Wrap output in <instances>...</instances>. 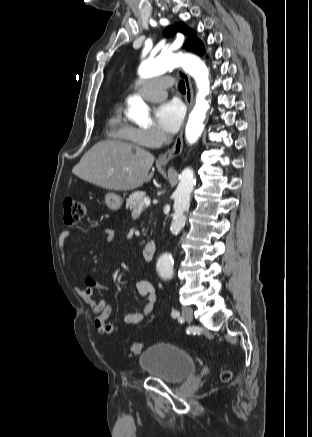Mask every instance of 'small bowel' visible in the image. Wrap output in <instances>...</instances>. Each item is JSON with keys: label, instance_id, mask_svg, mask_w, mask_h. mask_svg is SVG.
Segmentation results:
<instances>
[{"label": "small bowel", "instance_id": "obj_1", "mask_svg": "<svg viewBox=\"0 0 312 437\" xmlns=\"http://www.w3.org/2000/svg\"><path fill=\"white\" fill-rule=\"evenodd\" d=\"M69 234V232H65L63 237H67ZM104 236L107 242H111L115 236L114 230L111 228L105 229ZM136 289L138 294L145 298V302L141 307V312H128L125 314L124 322L128 325L141 323L147 315L153 312L157 303V294L151 282L148 280H139L136 283ZM95 290L105 291L106 288L91 276H87L84 279L83 286L77 289V293L79 294L80 298L92 310L94 327L101 335L119 334V326L107 322L112 310L109 301L105 298L101 299L100 301H95L93 298Z\"/></svg>", "mask_w": 312, "mask_h": 437}]
</instances>
